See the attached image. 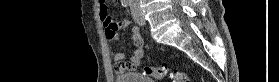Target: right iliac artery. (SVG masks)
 Segmentation results:
<instances>
[{
	"mask_svg": "<svg viewBox=\"0 0 279 82\" xmlns=\"http://www.w3.org/2000/svg\"><path fill=\"white\" fill-rule=\"evenodd\" d=\"M122 6L123 7H127L131 5V1L130 0H121Z\"/></svg>",
	"mask_w": 279,
	"mask_h": 82,
	"instance_id": "82829eb1",
	"label": "right iliac artery"
}]
</instances>
